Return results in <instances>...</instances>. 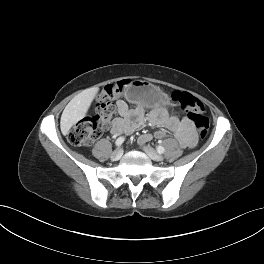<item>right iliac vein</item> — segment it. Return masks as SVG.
<instances>
[{"label":"right iliac vein","mask_w":264,"mask_h":264,"mask_svg":"<svg viewBox=\"0 0 264 264\" xmlns=\"http://www.w3.org/2000/svg\"><path fill=\"white\" fill-rule=\"evenodd\" d=\"M123 155V150L122 148L116 149L112 154H111V159L112 160H119Z\"/></svg>","instance_id":"right-iliac-vein-1"}]
</instances>
